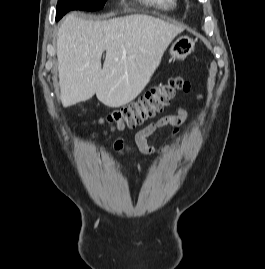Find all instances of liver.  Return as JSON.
Masks as SVG:
<instances>
[{
    "label": "liver",
    "instance_id": "obj_1",
    "mask_svg": "<svg viewBox=\"0 0 265 269\" xmlns=\"http://www.w3.org/2000/svg\"><path fill=\"white\" fill-rule=\"evenodd\" d=\"M183 30L146 14L104 21L67 15L57 33L63 107L86 101L94 94L112 108L133 101L149 83L169 44Z\"/></svg>",
    "mask_w": 265,
    "mask_h": 269
}]
</instances>
